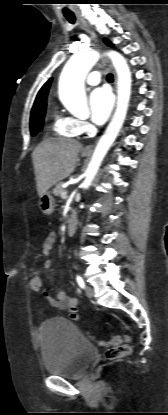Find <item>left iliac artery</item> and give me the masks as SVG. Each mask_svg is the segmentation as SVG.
Here are the masks:
<instances>
[{"instance_id": "44dca946", "label": "left iliac artery", "mask_w": 168, "mask_h": 415, "mask_svg": "<svg viewBox=\"0 0 168 415\" xmlns=\"http://www.w3.org/2000/svg\"><path fill=\"white\" fill-rule=\"evenodd\" d=\"M76 281H77L80 288H82V289L85 288V283H84V280L82 279L81 276L77 275L76 276Z\"/></svg>"}]
</instances>
